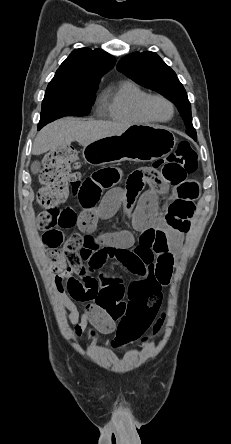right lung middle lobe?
Returning a JSON list of instances; mask_svg holds the SVG:
<instances>
[{
  "label": "right lung middle lobe",
  "mask_w": 231,
  "mask_h": 444,
  "mask_svg": "<svg viewBox=\"0 0 231 444\" xmlns=\"http://www.w3.org/2000/svg\"><path fill=\"white\" fill-rule=\"evenodd\" d=\"M92 90L46 89L38 130L64 116H85L89 113L95 92Z\"/></svg>",
  "instance_id": "obj_1"
}]
</instances>
